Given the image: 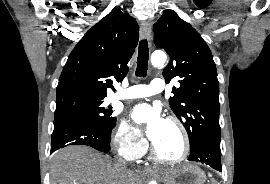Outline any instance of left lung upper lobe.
Here are the masks:
<instances>
[{"label":"left lung upper lobe","mask_w":270,"mask_h":184,"mask_svg":"<svg viewBox=\"0 0 270 184\" xmlns=\"http://www.w3.org/2000/svg\"><path fill=\"white\" fill-rule=\"evenodd\" d=\"M155 44L170 56L163 71L166 82L176 78L170 107L184 125L190 148L204 137H221L219 82L208 45L200 34L174 12L167 10L154 25Z\"/></svg>","instance_id":"obj_1"}]
</instances>
